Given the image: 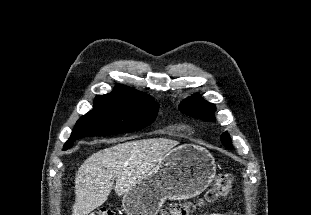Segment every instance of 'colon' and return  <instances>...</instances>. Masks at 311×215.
Instances as JSON below:
<instances>
[{
    "label": "colon",
    "mask_w": 311,
    "mask_h": 215,
    "mask_svg": "<svg viewBox=\"0 0 311 215\" xmlns=\"http://www.w3.org/2000/svg\"><path fill=\"white\" fill-rule=\"evenodd\" d=\"M233 192V177L229 173L220 174L214 185L207 190L204 198L197 203L193 202H175L164 208L159 215H190L197 207L204 202H213L218 196L231 194ZM90 215H115L113 211L107 208H98Z\"/></svg>",
    "instance_id": "1"
}]
</instances>
